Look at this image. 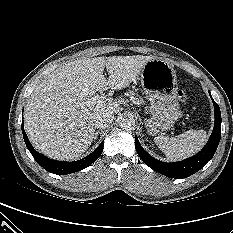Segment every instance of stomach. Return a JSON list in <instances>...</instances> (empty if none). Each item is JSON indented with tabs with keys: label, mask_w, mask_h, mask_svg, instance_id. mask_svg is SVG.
Instances as JSON below:
<instances>
[{
	"label": "stomach",
	"mask_w": 233,
	"mask_h": 233,
	"mask_svg": "<svg viewBox=\"0 0 233 233\" xmlns=\"http://www.w3.org/2000/svg\"><path fill=\"white\" fill-rule=\"evenodd\" d=\"M141 84L150 102L151 117L146 121L148 133L157 135L169 130L181 116L173 65L164 59L149 60L141 71Z\"/></svg>",
	"instance_id": "0dacf381"
}]
</instances>
